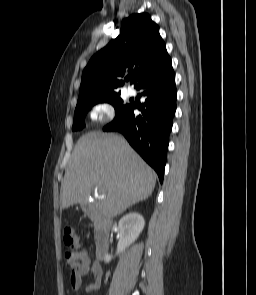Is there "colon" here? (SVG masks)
Listing matches in <instances>:
<instances>
[{
  "mask_svg": "<svg viewBox=\"0 0 256 295\" xmlns=\"http://www.w3.org/2000/svg\"><path fill=\"white\" fill-rule=\"evenodd\" d=\"M64 243L68 247L66 261L70 270H76L88 261L86 254L79 250V238L71 227L64 230Z\"/></svg>",
  "mask_w": 256,
  "mask_h": 295,
  "instance_id": "obj_1",
  "label": "colon"
}]
</instances>
